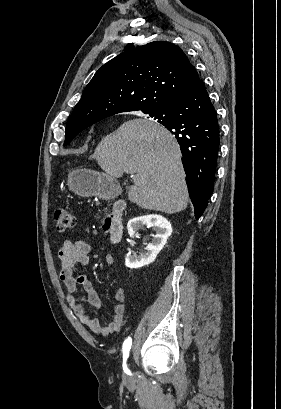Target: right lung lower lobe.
I'll return each mask as SVG.
<instances>
[{"instance_id":"1","label":"right lung lower lobe","mask_w":281,"mask_h":409,"mask_svg":"<svg viewBox=\"0 0 281 409\" xmlns=\"http://www.w3.org/2000/svg\"><path fill=\"white\" fill-rule=\"evenodd\" d=\"M148 114L161 120L180 145L189 196L199 219L213 191L220 132L203 81L183 98Z\"/></svg>"}]
</instances>
